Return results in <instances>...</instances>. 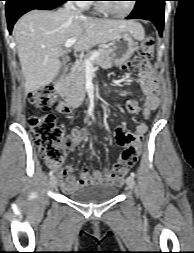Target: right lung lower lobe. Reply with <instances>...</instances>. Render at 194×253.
Segmentation results:
<instances>
[{"mask_svg": "<svg viewBox=\"0 0 194 253\" xmlns=\"http://www.w3.org/2000/svg\"><path fill=\"white\" fill-rule=\"evenodd\" d=\"M6 16L9 32L17 19L24 13L33 9H54L67 0H5Z\"/></svg>", "mask_w": 194, "mask_h": 253, "instance_id": "right-lung-lower-lobe-1", "label": "right lung lower lobe"}]
</instances>
